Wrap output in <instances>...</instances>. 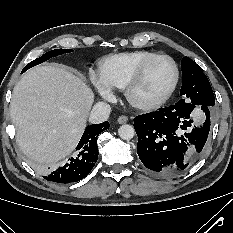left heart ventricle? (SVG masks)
<instances>
[{"mask_svg":"<svg viewBox=\"0 0 233 233\" xmlns=\"http://www.w3.org/2000/svg\"><path fill=\"white\" fill-rule=\"evenodd\" d=\"M173 75L174 70L170 60L161 58L154 61L135 88V99L142 102L156 99L169 86Z\"/></svg>","mask_w":233,"mask_h":233,"instance_id":"obj_1","label":"left heart ventricle"}]
</instances>
